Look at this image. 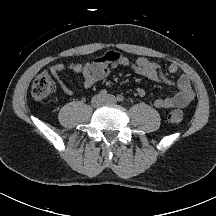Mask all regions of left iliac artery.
I'll return each instance as SVG.
<instances>
[{"mask_svg": "<svg viewBox=\"0 0 216 216\" xmlns=\"http://www.w3.org/2000/svg\"><path fill=\"white\" fill-rule=\"evenodd\" d=\"M117 100H118L119 102H122V101H124V97H123L122 95H118V96H117Z\"/></svg>", "mask_w": 216, "mask_h": 216, "instance_id": "44dca946", "label": "left iliac artery"}]
</instances>
